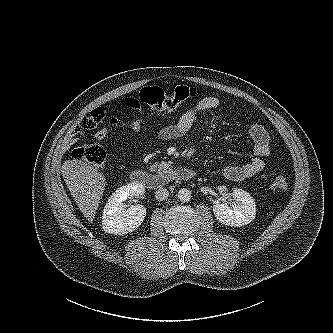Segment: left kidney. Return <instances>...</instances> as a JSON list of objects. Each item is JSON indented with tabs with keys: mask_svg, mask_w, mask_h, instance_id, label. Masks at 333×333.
Wrapping results in <instances>:
<instances>
[{
	"mask_svg": "<svg viewBox=\"0 0 333 333\" xmlns=\"http://www.w3.org/2000/svg\"><path fill=\"white\" fill-rule=\"evenodd\" d=\"M233 197L238 201L232 207L227 203L217 201L213 206L216 219L227 226L241 227L255 219L256 204L253 197L239 188H234Z\"/></svg>",
	"mask_w": 333,
	"mask_h": 333,
	"instance_id": "5707ae66",
	"label": "left kidney"
}]
</instances>
